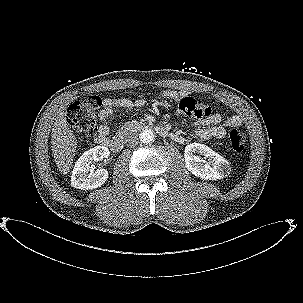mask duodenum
Masks as SVG:
<instances>
[{
	"label": "duodenum",
	"mask_w": 303,
	"mask_h": 303,
	"mask_svg": "<svg viewBox=\"0 0 303 303\" xmlns=\"http://www.w3.org/2000/svg\"><path fill=\"white\" fill-rule=\"evenodd\" d=\"M151 128H152V126H150L147 123H130L127 126V130H129V131L149 130ZM156 130L162 137L171 138V133L169 132L168 129H166L164 127H156ZM103 145L108 146L114 152H119L122 150V148L124 146V137H123V135H120V136H117L112 139H107Z\"/></svg>",
	"instance_id": "obj_1"
}]
</instances>
